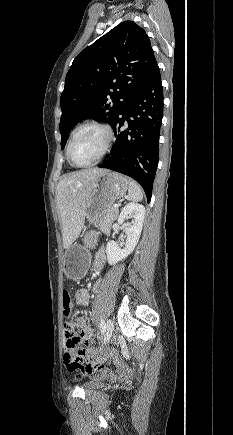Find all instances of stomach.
<instances>
[{
	"label": "stomach",
	"instance_id": "obj_1",
	"mask_svg": "<svg viewBox=\"0 0 233 435\" xmlns=\"http://www.w3.org/2000/svg\"><path fill=\"white\" fill-rule=\"evenodd\" d=\"M128 188L129 181L123 175L108 170L100 174L86 208L87 221L94 225L101 221L107 207L124 196ZM97 236L98 233L95 231L86 233L83 245L74 244L66 249L63 268L67 277L80 280L86 275L90 262V248L95 245Z\"/></svg>",
	"mask_w": 233,
	"mask_h": 435
}]
</instances>
